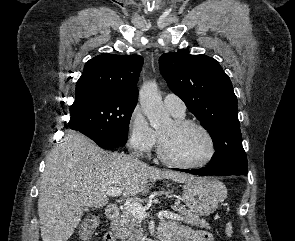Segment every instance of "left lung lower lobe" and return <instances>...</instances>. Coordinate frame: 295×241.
Segmentation results:
<instances>
[{
	"mask_svg": "<svg viewBox=\"0 0 295 241\" xmlns=\"http://www.w3.org/2000/svg\"><path fill=\"white\" fill-rule=\"evenodd\" d=\"M174 170H179V171H184L187 173H191L194 175H217V176H228V175H242L240 172H234V171H229L226 169H221V168H213V167H204L200 169H192V170H183V169H174Z\"/></svg>",
	"mask_w": 295,
	"mask_h": 241,
	"instance_id": "left-lung-lower-lobe-1",
	"label": "left lung lower lobe"
}]
</instances>
